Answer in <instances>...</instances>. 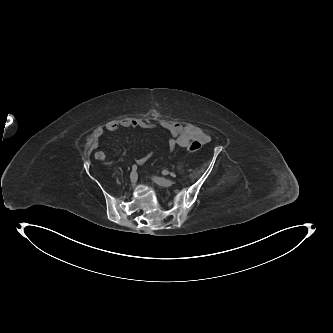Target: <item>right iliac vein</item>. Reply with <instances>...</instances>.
I'll use <instances>...</instances> for the list:
<instances>
[{
  "instance_id": "63e3f726",
  "label": "right iliac vein",
  "mask_w": 333,
  "mask_h": 333,
  "mask_svg": "<svg viewBox=\"0 0 333 333\" xmlns=\"http://www.w3.org/2000/svg\"><path fill=\"white\" fill-rule=\"evenodd\" d=\"M129 180H130V184L133 186L135 185L136 181H137V173L135 171H132L130 173V177H129Z\"/></svg>"
}]
</instances>
